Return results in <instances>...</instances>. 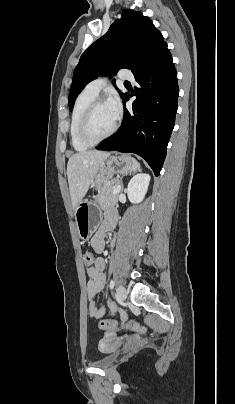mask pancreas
I'll return each mask as SVG.
<instances>
[{"instance_id": "1", "label": "pancreas", "mask_w": 235, "mask_h": 404, "mask_svg": "<svg viewBox=\"0 0 235 404\" xmlns=\"http://www.w3.org/2000/svg\"><path fill=\"white\" fill-rule=\"evenodd\" d=\"M120 184V179H112L104 182L98 190V195L95 197V202L98 203L102 208H107L110 205L116 204L118 201V194H113V191Z\"/></svg>"}]
</instances>
